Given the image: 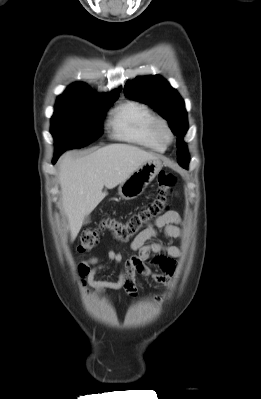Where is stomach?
<instances>
[{"label":"stomach","instance_id":"0dacf381","mask_svg":"<svg viewBox=\"0 0 261 399\" xmlns=\"http://www.w3.org/2000/svg\"><path fill=\"white\" fill-rule=\"evenodd\" d=\"M159 159L148 160L142 163L124 182L118 187V194L125 200H131L141 195L162 169Z\"/></svg>","mask_w":261,"mask_h":399}]
</instances>
